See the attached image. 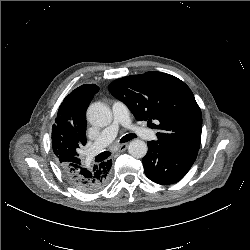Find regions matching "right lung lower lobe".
<instances>
[{
    "label": "right lung lower lobe",
    "instance_id": "right-lung-lower-lobe-1",
    "mask_svg": "<svg viewBox=\"0 0 250 250\" xmlns=\"http://www.w3.org/2000/svg\"><path fill=\"white\" fill-rule=\"evenodd\" d=\"M111 160L101 162L98 165L86 166L72 164L70 166H60L63 174L77 189L83 192H95L101 190L108 183Z\"/></svg>",
    "mask_w": 250,
    "mask_h": 250
}]
</instances>
